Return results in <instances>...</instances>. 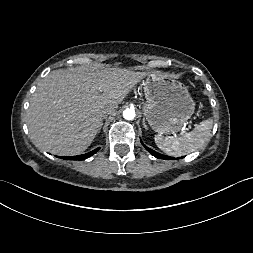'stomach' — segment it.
Instances as JSON below:
<instances>
[{
    "instance_id": "1",
    "label": "stomach",
    "mask_w": 253,
    "mask_h": 253,
    "mask_svg": "<svg viewBox=\"0 0 253 253\" xmlns=\"http://www.w3.org/2000/svg\"><path fill=\"white\" fill-rule=\"evenodd\" d=\"M143 114L159 134L178 132L191 118L195 103L186 86L166 75L148 73L143 82Z\"/></svg>"
}]
</instances>
